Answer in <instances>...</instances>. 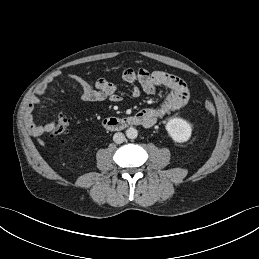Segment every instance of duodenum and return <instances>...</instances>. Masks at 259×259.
<instances>
[{
  "label": "duodenum",
  "mask_w": 259,
  "mask_h": 259,
  "mask_svg": "<svg viewBox=\"0 0 259 259\" xmlns=\"http://www.w3.org/2000/svg\"><path fill=\"white\" fill-rule=\"evenodd\" d=\"M102 125L105 129L108 130H121L130 126L144 125V121L140 116L136 114L128 117H109L103 121Z\"/></svg>",
  "instance_id": "410a0bca"
}]
</instances>
